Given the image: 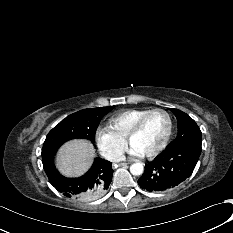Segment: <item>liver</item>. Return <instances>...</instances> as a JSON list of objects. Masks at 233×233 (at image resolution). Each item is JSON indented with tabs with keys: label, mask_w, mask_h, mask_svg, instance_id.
Returning a JSON list of instances; mask_svg holds the SVG:
<instances>
[{
	"label": "liver",
	"mask_w": 233,
	"mask_h": 233,
	"mask_svg": "<svg viewBox=\"0 0 233 233\" xmlns=\"http://www.w3.org/2000/svg\"><path fill=\"white\" fill-rule=\"evenodd\" d=\"M94 151L93 145L87 140L70 141L59 150L57 167L66 176H80L91 166Z\"/></svg>",
	"instance_id": "liver-1"
}]
</instances>
